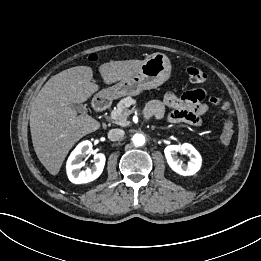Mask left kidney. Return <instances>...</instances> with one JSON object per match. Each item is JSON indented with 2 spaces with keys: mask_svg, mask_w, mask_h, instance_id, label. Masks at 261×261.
Wrapping results in <instances>:
<instances>
[{
  "mask_svg": "<svg viewBox=\"0 0 261 261\" xmlns=\"http://www.w3.org/2000/svg\"><path fill=\"white\" fill-rule=\"evenodd\" d=\"M178 152L187 154L190 158V161L187 164H184L178 158ZM164 154L170 168L180 175H194L201 168V155L191 144L184 143L182 145H169L164 149Z\"/></svg>",
  "mask_w": 261,
  "mask_h": 261,
  "instance_id": "left-kidney-1",
  "label": "left kidney"
}]
</instances>
